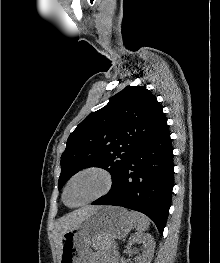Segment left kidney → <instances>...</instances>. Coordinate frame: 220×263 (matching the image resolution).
Masks as SVG:
<instances>
[{
	"instance_id": "obj_1",
	"label": "left kidney",
	"mask_w": 220,
	"mask_h": 263,
	"mask_svg": "<svg viewBox=\"0 0 220 263\" xmlns=\"http://www.w3.org/2000/svg\"><path fill=\"white\" fill-rule=\"evenodd\" d=\"M135 243H143L145 250L142 256L137 257L136 263H150L154 254L155 242L150 234L137 233L128 241V248Z\"/></svg>"
}]
</instances>
